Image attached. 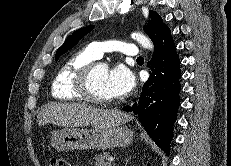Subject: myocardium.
Here are the masks:
<instances>
[{"mask_svg": "<svg viewBox=\"0 0 231 166\" xmlns=\"http://www.w3.org/2000/svg\"><path fill=\"white\" fill-rule=\"evenodd\" d=\"M100 65V62L93 61L82 67L76 76L75 88L81 97L87 101L98 104H109L113 102V98H105L96 95L92 87L93 73Z\"/></svg>", "mask_w": 231, "mask_h": 166, "instance_id": "obj_1", "label": "myocardium"}]
</instances>
